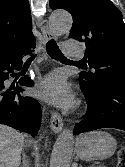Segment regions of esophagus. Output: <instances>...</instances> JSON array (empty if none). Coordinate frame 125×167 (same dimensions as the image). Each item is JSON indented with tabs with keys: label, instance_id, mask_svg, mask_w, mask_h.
<instances>
[{
	"label": "esophagus",
	"instance_id": "obj_1",
	"mask_svg": "<svg viewBox=\"0 0 125 167\" xmlns=\"http://www.w3.org/2000/svg\"><path fill=\"white\" fill-rule=\"evenodd\" d=\"M41 32H42L44 42H48L50 40H55L57 38L56 35L54 34V32L49 28L46 20H44L42 22ZM50 126H51V129L55 133H59L62 130L63 119L57 112L52 113Z\"/></svg>",
	"mask_w": 125,
	"mask_h": 167
}]
</instances>
